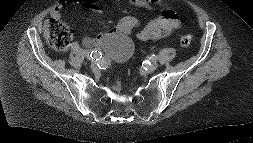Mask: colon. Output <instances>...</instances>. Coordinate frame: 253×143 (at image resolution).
I'll return each mask as SVG.
<instances>
[{"instance_id": "obj_1", "label": "colon", "mask_w": 253, "mask_h": 143, "mask_svg": "<svg viewBox=\"0 0 253 143\" xmlns=\"http://www.w3.org/2000/svg\"><path fill=\"white\" fill-rule=\"evenodd\" d=\"M45 38L50 46L57 51H65L72 42V33L69 27L60 19L50 17L45 25ZM192 42V36L184 35L180 39L181 46H188Z\"/></svg>"}]
</instances>
